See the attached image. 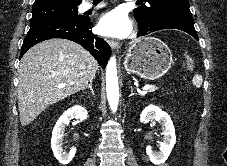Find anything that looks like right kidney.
I'll return each mask as SVG.
<instances>
[{"mask_svg": "<svg viewBox=\"0 0 227 166\" xmlns=\"http://www.w3.org/2000/svg\"><path fill=\"white\" fill-rule=\"evenodd\" d=\"M87 117L88 112L84 107L74 106L65 111L56 122L52 131L51 148L59 163L63 165L70 163L76 153V148L74 147L68 153L63 151L62 144L66 126L69 125L70 120L73 118L84 121Z\"/></svg>", "mask_w": 227, "mask_h": 166, "instance_id": "1", "label": "right kidney"}]
</instances>
